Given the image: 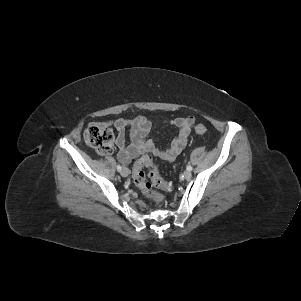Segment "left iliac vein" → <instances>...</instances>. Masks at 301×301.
<instances>
[{
	"instance_id": "obj_1",
	"label": "left iliac vein",
	"mask_w": 301,
	"mask_h": 301,
	"mask_svg": "<svg viewBox=\"0 0 301 301\" xmlns=\"http://www.w3.org/2000/svg\"><path fill=\"white\" fill-rule=\"evenodd\" d=\"M191 176H192V173L190 171L187 170V171L184 172L185 179H190Z\"/></svg>"
}]
</instances>
